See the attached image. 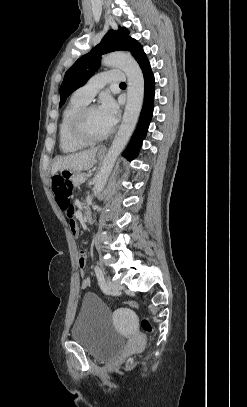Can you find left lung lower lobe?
I'll return each instance as SVG.
<instances>
[{
  "mask_svg": "<svg viewBox=\"0 0 247 407\" xmlns=\"http://www.w3.org/2000/svg\"><path fill=\"white\" fill-rule=\"evenodd\" d=\"M137 62L144 74L145 95L138 126L130 140V143L123 152V156H125L130 161L135 159L139 153V150L142 146V141L146 136L153 114L154 76L150 68V63L147 60L145 54Z\"/></svg>",
  "mask_w": 247,
  "mask_h": 407,
  "instance_id": "0a47b994",
  "label": "left lung lower lobe"
}]
</instances>
